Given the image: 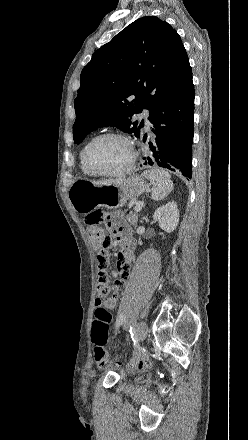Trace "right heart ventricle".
<instances>
[{
	"label": "right heart ventricle",
	"mask_w": 248,
	"mask_h": 440,
	"mask_svg": "<svg viewBox=\"0 0 248 440\" xmlns=\"http://www.w3.org/2000/svg\"><path fill=\"white\" fill-rule=\"evenodd\" d=\"M87 145H88V143H86L84 145V147L82 148V150L80 152V156H79V158H80V169H81L82 173H84L85 175H91L89 173V171L87 170V168L85 167V164H84V152H85V149H86Z\"/></svg>",
	"instance_id": "right-heart-ventricle-1"
}]
</instances>
